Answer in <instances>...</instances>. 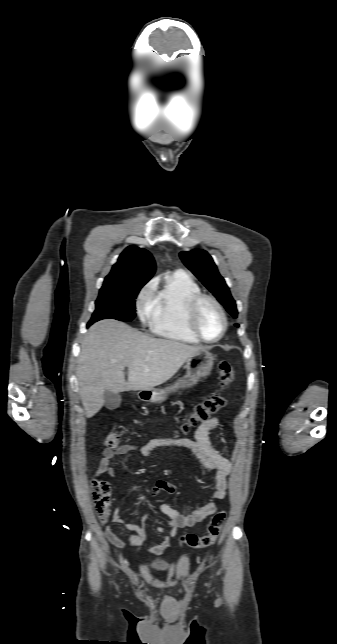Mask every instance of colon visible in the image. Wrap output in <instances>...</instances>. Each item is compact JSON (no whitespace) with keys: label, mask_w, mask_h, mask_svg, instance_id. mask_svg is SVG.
<instances>
[{"label":"colon","mask_w":337,"mask_h":644,"mask_svg":"<svg viewBox=\"0 0 337 644\" xmlns=\"http://www.w3.org/2000/svg\"><path fill=\"white\" fill-rule=\"evenodd\" d=\"M220 385L222 390L227 389L234 379V367L226 360L218 364ZM226 403L225 397L218 393L214 394L203 402L197 404L194 409L189 413L186 419L182 422L179 432L188 433L192 428L198 424H202L210 417L222 409ZM120 435L117 432H110L104 439V445L107 449L114 450L119 447ZM92 495L95 499V509L102 521H105L109 515L110 502L109 494L110 487L108 482L100 479H94L91 483ZM226 514L224 511H219L213 515L209 521L206 531L203 535L198 536L195 534H187L182 537V542L193 548L209 547L216 541L222 526L225 522Z\"/></svg>","instance_id":"obj_1"}]
</instances>
